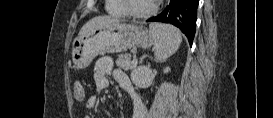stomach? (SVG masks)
Returning <instances> with one entry per match:
<instances>
[{
    "mask_svg": "<svg viewBox=\"0 0 273 118\" xmlns=\"http://www.w3.org/2000/svg\"><path fill=\"white\" fill-rule=\"evenodd\" d=\"M153 38L144 26L113 22L78 36L72 47V62L82 69L99 55L126 51L132 47L148 48Z\"/></svg>",
    "mask_w": 273,
    "mask_h": 118,
    "instance_id": "0dacf381",
    "label": "stomach"
}]
</instances>
